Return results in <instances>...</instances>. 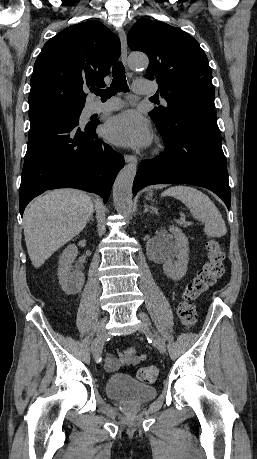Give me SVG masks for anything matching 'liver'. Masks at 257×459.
I'll return each instance as SVG.
<instances>
[{"label": "liver", "instance_id": "1", "mask_svg": "<svg viewBox=\"0 0 257 459\" xmlns=\"http://www.w3.org/2000/svg\"><path fill=\"white\" fill-rule=\"evenodd\" d=\"M93 207L86 193L60 189L47 192L26 208L24 236L35 268L85 228Z\"/></svg>", "mask_w": 257, "mask_h": 459}]
</instances>
